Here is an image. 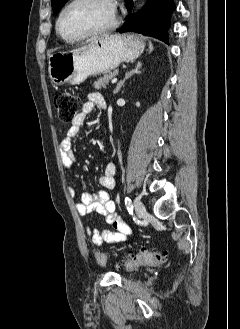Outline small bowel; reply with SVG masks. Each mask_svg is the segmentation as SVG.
Listing matches in <instances>:
<instances>
[{"instance_id": "c3829d8e", "label": "small bowel", "mask_w": 240, "mask_h": 329, "mask_svg": "<svg viewBox=\"0 0 240 329\" xmlns=\"http://www.w3.org/2000/svg\"><path fill=\"white\" fill-rule=\"evenodd\" d=\"M97 107L105 109L107 103L99 92H92L88 95L82 111L72 121L71 127L59 144L62 164L68 170L77 162V156L72 147V140L79 134L86 119ZM116 173V165L111 162L106 163L103 173L98 179L99 184L106 190L114 189L116 186ZM71 190L74 193V190ZM106 190H100L96 193L85 192L81 195V201L76 204V210L80 216L85 217L96 212L103 215L106 223L115 229V231H110L88 226L86 228V234L89 240L97 246L105 243L118 244L125 242L131 234L130 226L118 215L116 205L109 198Z\"/></svg>"}]
</instances>
